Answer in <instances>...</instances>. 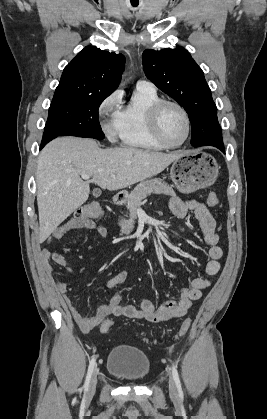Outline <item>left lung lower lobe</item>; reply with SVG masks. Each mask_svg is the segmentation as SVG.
<instances>
[{"label":"left lung lower lobe","mask_w":267,"mask_h":419,"mask_svg":"<svg viewBox=\"0 0 267 419\" xmlns=\"http://www.w3.org/2000/svg\"><path fill=\"white\" fill-rule=\"evenodd\" d=\"M214 140H215V138L207 136L206 140H203V141H200V142L196 143L194 145V147L211 145V146L217 147L218 149H220L221 151L224 152V145L223 144H218Z\"/></svg>","instance_id":"obj_1"}]
</instances>
